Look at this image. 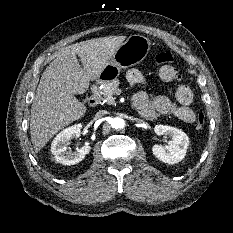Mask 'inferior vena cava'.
<instances>
[{
  "mask_svg": "<svg viewBox=\"0 0 233 233\" xmlns=\"http://www.w3.org/2000/svg\"><path fill=\"white\" fill-rule=\"evenodd\" d=\"M105 112H106V111H104V110H100L99 112H97V116L100 117V116L104 115Z\"/></svg>",
  "mask_w": 233,
  "mask_h": 233,
  "instance_id": "1",
  "label": "inferior vena cava"
}]
</instances>
